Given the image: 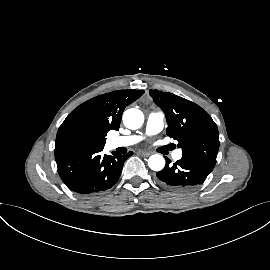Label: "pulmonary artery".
I'll list each match as a JSON object with an SVG mask.
<instances>
[{"label":"pulmonary artery","mask_w":270,"mask_h":270,"mask_svg":"<svg viewBox=\"0 0 270 270\" xmlns=\"http://www.w3.org/2000/svg\"><path fill=\"white\" fill-rule=\"evenodd\" d=\"M164 126V114L162 112L152 111L147 116L146 121V134L154 135L159 133ZM142 139L140 135L119 136L109 140V146L111 148L127 147L138 143ZM174 159L179 160L182 157L181 150H177L174 155Z\"/></svg>","instance_id":"pulmonary-artery-1"}]
</instances>
